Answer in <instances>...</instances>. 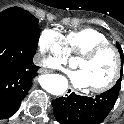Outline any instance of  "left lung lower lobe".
<instances>
[{
	"label": "left lung lower lobe",
	"instance_id": "1",
	"mask_svg": "<svg viewBox=\"0 0 124 124\" xmlns=\"http://www.w3.org/2000/svg\"><path fill=\"white\" fill-rule=\"evenodd\" d=\"M119 90L114 86L94 97L71 93L57 98L52 101L53 114L61 124H100L114 107Z\"/></svg>",
	"mask_w": 124,
	"mask_h": 124
}]
</instances>
